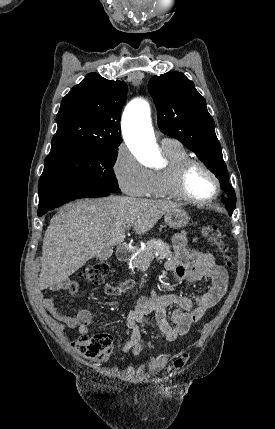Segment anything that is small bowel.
<instances>
[{"mask_svg":"<svg viewBox=\"0 0 275 429\" xmlns=\"http://www.w3.org/2000/svg\"><path fill=\"white\" fill-rule=\"evenodd\" d=\"M175 255L165 263V268L175 274L176 280H186L192 286L200 281L209 283L208 288L199 295L182 296L177 294H157L141 297L136 306L128 313L125 331L128 341L124 346L125 353L138 356L141 353L140 324L150 316L152 324L168 341H174L185 335L191 325L198 322L206 310L217 304L224 296L227 286V271L215 261L212 254L199 250L187 249L185 232L176 234L173 238ZM134 286L132 279L118 283H108L104 290L107 295H119ZM56 287L66 289L71 294L78 291L76 280H65ZM41 302L45 309L56 319L68 327L77 329L80 334H86L95 315L88 308L80 309L74 316L63 313L55 304L52 297H43ZM174 306L169 323L166 309Z\"/></svg>","mask_w":275,"mask_h":429,"instance_id":"small-bowel-1","label":"small bowel"}]
</instances>
